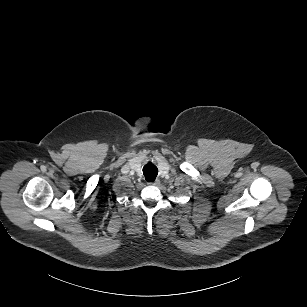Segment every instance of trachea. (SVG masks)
Returning <instances> with one entry per match:
<instances>
[{"label":"trachea","instance_id":"obj_1","mask_svg":"<svg viewBox=\"0 0 307 307\" xmlns=\"http://www.w3.org/2000/svg\"><path fill=\"white\" fill-rule=\"evenodd\" d=\"M143 174L146 181L153 182L158 174V169L154 164L148 163L143 167Z\"/></svg>","mask_w":307,"mask_h":307}]
</instances>
